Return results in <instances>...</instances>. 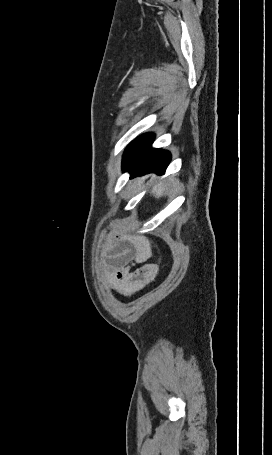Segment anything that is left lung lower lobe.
Segmentation results:
<instances>
[{"instance_id":"obj_1","label":"left lung lower lobe","mask_w":272,"mask_h":455,"mask_svg":"<svg viewBox=\"0 0 272 455\" xmlns=\"http://www.w3.org/2000/svg\"><path fill=\"white\" fill-rule=\"evenodd\" d=\"M154 134H144L126 148L123 155L122 169L129 171L131 178L150 172L161 174L168 166L171 155L168 151L151 148Z\"/></svg>"}]
</instances>
